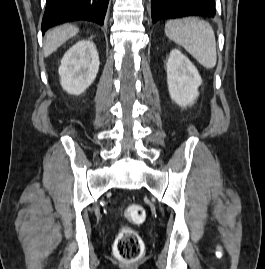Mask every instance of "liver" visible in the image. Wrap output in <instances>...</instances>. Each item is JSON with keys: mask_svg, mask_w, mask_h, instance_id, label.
<instances>
[{"mask_svg": "<svg viewBox=\"0 0 265 269\" xmlns=\"http://www.w3.org/2000/svg\"><path fill=\"white\" fill-rule=\"evenodd\" d=\"M78 32L79 28L71 24H66L49 31L46 34L44 56L48 57L51 55L63 43L75 36Z\"/></svg>", "mask_w": 265, "mask_h": 269, "instance_id": "1", "label": "liver"}]
</instances>
